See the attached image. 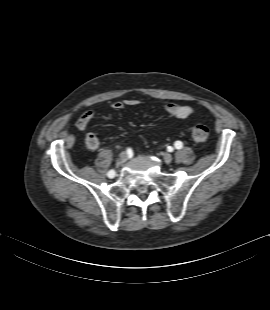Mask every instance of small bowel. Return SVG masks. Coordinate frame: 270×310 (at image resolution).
<instances>
[{
    "instance_id": "c3829d8e",
    "label": "small bowel",
    "mask_w": 270,
    "mask_h": 310,
    "mask_svg": "<svg viewBox=\"0 0 270 310\" xmlns=\"http://www.w3.org/2000/svg\"><path fill=\"white\" fill-rule=\"evenodd\" d=\"M140 101L135 98L126 99L123 101L114 102L111 107L114 110H122L126 106H137ZM166 112L170 117L176 120H183L190 116L193 112V108L188 105L167 104L165 107ZM95 116L94 110H87L81 114L75 121V126L80 131H85L88 128L90 121ZM99 139L96 134L89 132L86 134V145L89 149L95 150L99 147Z\"/></svg>"
}]
</instances>
